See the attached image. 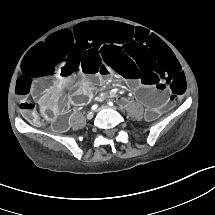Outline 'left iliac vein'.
<instances>
[{
	"label": "left iliac vein",
	"mask_w": 215,
	"mask_h": 215,
	"mask_svg": "<svg viewBox=\"0 0 215 215\" xmlns=\"http://www.w3.org/2000/svg\"><path fill=\"white\" fill-rule=\"evenodd\" d=\"M108 108L107 106H102V109Z\"/></svg>",
	"instance_id": "obj_1"
}]
</instances>
